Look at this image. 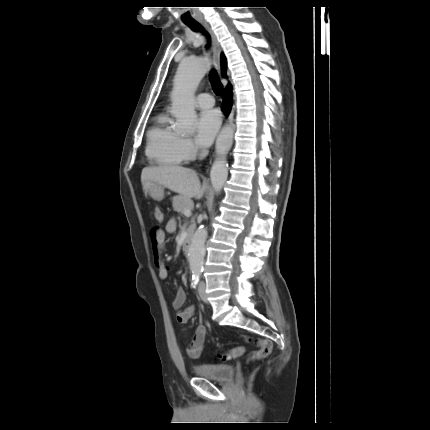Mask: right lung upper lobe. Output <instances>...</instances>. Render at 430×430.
Wrapping results in <instances>:
<instances>
[{"instance_id": "right-lung-upper-lobe-1", "label": "right lung upper lobe", "mask_w": 430, "mask_h": 430, "mask_svg": "<svg viewBox=\"0 0 430 430\" xmlns=\"http://www.w3.org/2000/svg\"><path fill=\"white\" fill-rule=\"evenodd\" d=\"M221 70H222L223 77H225L226 76V59H225L223 54L221 56Z\"/></svg>"}]
</instances>
